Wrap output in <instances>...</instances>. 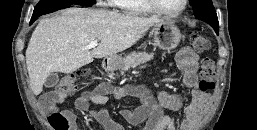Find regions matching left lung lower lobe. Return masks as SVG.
Segmentation results:
<instances>
[{
	"label": "left lung lower lobe",
	"mask_w": 257,
	"mask_h": 130,
	"mask_svg": "<svg viewBox=\"0 0 257 130\" xmlns=\"http://www.w3.org/2000/svg\"><path fill=\"white\" fill-rule=\"evenodd\" d=\"M219 29V28H218ZM218 29H214L216 31V33H218Z\"/></svg>",
	"instance_id": "1"
}]
</instances>
